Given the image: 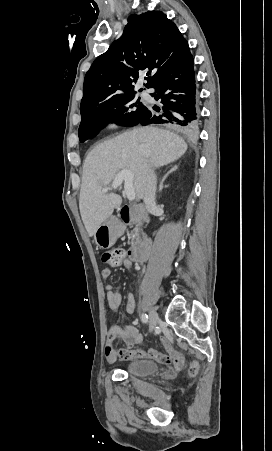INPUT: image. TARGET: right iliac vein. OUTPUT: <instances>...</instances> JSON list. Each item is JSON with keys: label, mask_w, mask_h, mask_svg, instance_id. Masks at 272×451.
Returning <instances> with one entry per match:
<instances>
[{"label": "right iliac vein", "mask_w": 272, "mask_h": 451, "mask_svg": "<svg viewBox=\"0 0 272 451\" xmlns=\"http://www.w3.org/2000/svg\"><path fill=\"white\" fill-rule=\"evenodd\" d=\"M149 318H150V331H153L156 327L157 321H158V313L154 308H151L149 311Z\"/></svg>", "instance_id": "obj_1"}]
</instances>
